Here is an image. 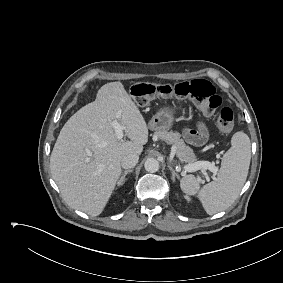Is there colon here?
Masks as SVG:
<instances>
[{
  "label": "colon",
  "instance_id": "obj_1",
  "mask_svg": "<svg viewBox=\"0 0 283 283\" xmlns=\"http://www.w3.org/2000/svg\"><path fill=\"white\" fill-rule=\"evenodd\" d=\"M131 96L138 106H146L156 97L190 98L205 114L214 115L219 132L227 133L233 126L232 110L229 107H221L222 100L215 87L204 79H194L175 85L141 82L132 86Z\"/></svg>",
  "mask_w": 283,
  "mask_h": 283
}]
</instances>
